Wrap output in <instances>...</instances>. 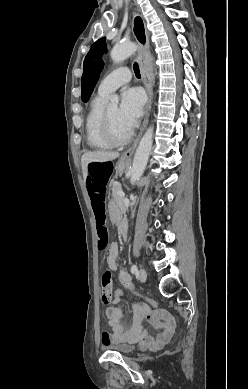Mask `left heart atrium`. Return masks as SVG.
<instances>
[{"label":"left heart atrium","mask_w":248,"mask_h":389,"mask_svg":"<svg viewBox=\"0 0 248 389\" xmlns=\"http://www.w3.org/2000/svg\"><path fill=\"white\" fill-rule=\"evenodd\" d=\"M144 96L137 88H127L122 92L119 107L121 122L129 129L135 126L143 113Z\"/></svg>","instance_id":"39dd6f15"}]
</instances>
